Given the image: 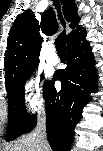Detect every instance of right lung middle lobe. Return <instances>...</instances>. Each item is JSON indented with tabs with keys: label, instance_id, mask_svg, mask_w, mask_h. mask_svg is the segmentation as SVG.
Instances as JSON below:
<instances>
[{
	"label": "right lung middle lobe",
	"instance_id": "right-lung-middle-lobe-1",
	"mask_svg": "<svg viewBox=\"0 0 103 151\" xmlns=\"http://www.w3.org/2000/svg\"><path fill=\"white\" fill-rule=\"evenodd\" d=\"M37 66L38 64L22 73L8 88H6L8 98L6 141H11L24 134L36 117V115H29L26 111L24 105V85ZM41 78H43V75ZM48 84L49 82H45L43 93H45Z\"/></svg>",
	"mask_w": 103,
	"mask_h": 151
}]
</instances>
